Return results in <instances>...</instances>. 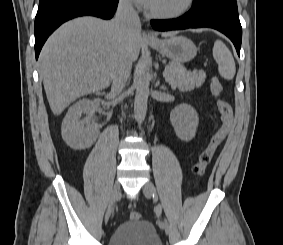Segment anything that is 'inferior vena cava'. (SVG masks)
I'll list each match as a JSON object with an SVG mask.
<instances>
[{"instance_id":"1","label":"inferior vena cava","mask_w":283,"mask_h":245,"mask_svg":"<svg viewBox=\"0 0 283 245\" xmlns=\"http://www.w3.org/2000/svg\"><path fill=\"white\" fill-rule=\"evenodd\" d=\"M118 36L125 44V52L119 57L112 76L111 94L118 96L130 76L132 60L128 55L131 35L133 31L141 28L137 12L134 10L130 0H120L114 19Z\"/></svg>"}]
</instances>
